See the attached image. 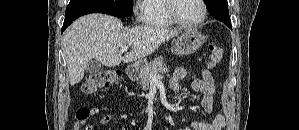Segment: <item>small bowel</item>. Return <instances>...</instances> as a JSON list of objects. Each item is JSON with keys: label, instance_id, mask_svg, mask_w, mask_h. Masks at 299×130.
Returning a JSON list of instances; mask_svg holds the SVG:
<instances>
[{"label": "small bowel", "instance_id": "c3829d8e", "mask_svg": "<svg viewBox=\"0 0 299 130\" xmlns=\"http://www.w3.org/2000/svg\"><path fill=\"white\" fill-rule=\"evenodd\" d=\"M186 70L182 67L175 69L173 76L170 80V87L177 90L180 83L186 78ZM190 90L193 92H199L202 94L201 105L205 112L212 113L214 111V93L215 85L211 72L208 69L200 68L199 75L190 84ZM104 108H93L91 109V115L97 114ZM113 115L106 113L100 120L102 125H107L112 121ZM226 124L225 117L223 114L218 113L214 119L210 122L193 120L191 127L194 130H222ZM73 130H79L76 126ZM125 130V129H122Z\"/></svg>", "mask_w": 299, "mask_h": 130}]
</instances>
